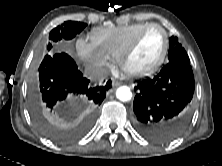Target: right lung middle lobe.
Wrapping results in <instances>:
<instances>
[{"instance_id": "right-lung-middle-lobe-1", "label": "right lung middle lobe", "mask_w": 222, "mask_h": 166, "mask_svg": "<svg viewBox=\"0 0 222 166\" xmlns=\"http://www.w3.org/2000/svg\"><path fill=\"white\" fill-rule=\"evenodd\" d=\"M86 26V23L76 21H66L61 26H57L49 34L47 50L50 51L52 46L59 43L62 39L70 40L74 38ZM31 112L33 120L40 132L57 141L67 140L66 133L59 129L58 125L52 120L51 115L46 113L42 108L34 109L32 106Z\"/></svg>"}]
</instances>
